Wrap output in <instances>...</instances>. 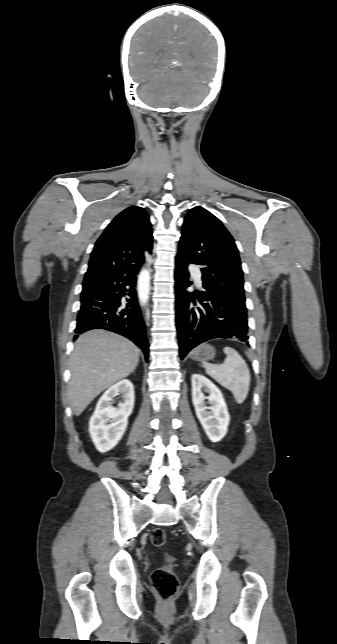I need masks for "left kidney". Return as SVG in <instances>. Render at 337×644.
<instances>
[{"label":"left kidney","instance_id":"obj_1","mask_svg":"<svg viewBox=\"0 0 337 644\" xmlns=\"http://www.w3.org/2000/svg\"><path fill=\"white\" fill-rule=\"evenodd\" d=\"M192 402L197 418L205 433L212 442H218L226 435L230 421L227 405L221 391L208 378L200 374H193ZM204 392L209 393L205 396ZM208 400L209 407L205 400Z\"/></svg>","mask_w":337,"mask_h":644}]
</instances>
